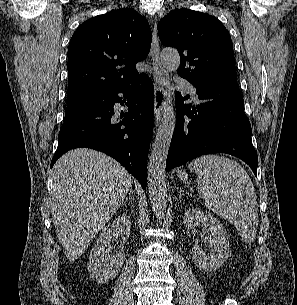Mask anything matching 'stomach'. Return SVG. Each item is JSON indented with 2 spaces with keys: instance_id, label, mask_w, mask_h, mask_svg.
Masks as SVG:
<instances>
[{
  "instance_id": "0dacf381",
  "label": "stomach",
  "mask_w": 297,
  "mask_h": 305,
  "mask_svg": "<svg viewBox=\"0 0 297 305\" xmlns=\"http://www.w3.org/2000/svg\"><path fill=\"white\" fill-rule=\"evenodd\" d=\"M177 176L182 180L183 182H186L188 180V174L184 170H179L177 172Z\"/></svg>"
}]
</instances>
